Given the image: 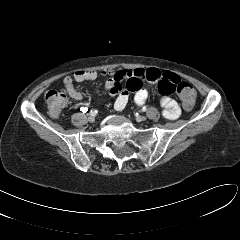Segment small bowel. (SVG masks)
Instances as JSON below:
<instances>
[{"label":"small bowel","instance_id":"obj_1","mask_svg":"<svg viewBox=\"0 0 240 240\" xmlns=\"http://www.w3.org/2000/svg\"><path fill=\"white\" fill-rule=\"evenodd\" d=\"M98 74L94 70H78L73 75H66L63 84L66 92L74 101L82 100V94L75 88L74 82L94 81ZM181 78L169 71H161L157 68L149 69H125L113 72L105 83L106 91L116 96L114 109L122 111L130 94H134L136 105H143L148 98V91L143 87L144 82L156 84L160 96L162 115L169 120H174L180 115L177 102L170 97Z\"/></svg>","mask_w":240,"mask_h":240}]
</instances>
